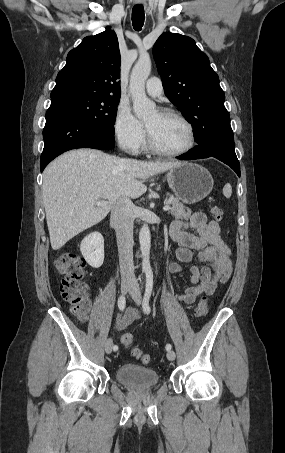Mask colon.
I'll return each mask as SVG.
<instances>
[{"mask_svg": "<svg viewBox=\"0 0 285 453\" xmlns=\"http://www.w3.org/2000/svg\"><path fill=\"white\" fill-rule=\"evenodd\" d=\"M212 216L220 220L223 215L221 207L213 205L210 207ZM57 271L63 276L61 281L62 297L73 305L75 313L85 314L89 308V292L84 284L85 278V261L75 253H62L55 260ZM208 300L202 297L196 308L195 316L203 317L208 312ZM121 343L130 348L134 343V336L130 332L121 335ZM132 355L140 359L143 363L148 364L151 358L148 354L143 353L138 348H132Z\"/></svg>", "mask_w": 285, "mask_h": 453, "instance_id": "5ec220e1", "label": "colon"}]
</instances>
